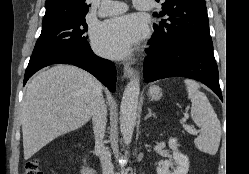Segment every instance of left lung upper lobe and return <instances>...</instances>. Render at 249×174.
Here are the masks:
<instances>
[{
  "label": "left lung upper lobe",
  "mask_w": 249,
  "mask_h": 174,
  "mask_svg": "<svg viewBox=\"0 0 249 174\" xmlns=\"http://www.w3.org/2000/svg\"><path fill=\"white\" fill-rule=\"evenodd\" d=\"M162 10L154 16L167 15L168 18L153 25L152 37L166 46L211 40L205 0H165Z\"/></svg>",
  "instance_id": "5c2ea615"
}]
</instances>
